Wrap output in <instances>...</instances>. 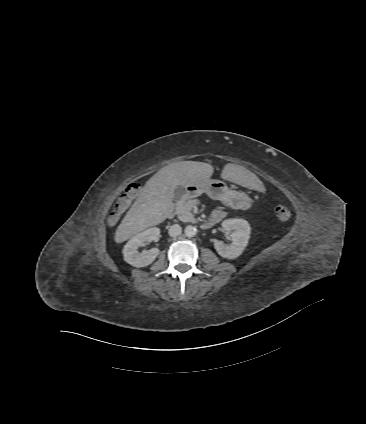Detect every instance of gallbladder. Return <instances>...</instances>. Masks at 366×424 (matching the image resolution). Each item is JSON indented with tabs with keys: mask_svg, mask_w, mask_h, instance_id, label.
<instances>
[{
	"mask_svg": "<svg viewBox=\"0 0 366 424\" xmlns=\"http://www.w3.org/2000/svg\"><path fill=\"white\" fill-rule=\"evenodd\" d=\"M174 199L175 200H179V199H181L182 197H183V195H184V188L182 187V186H177L176 187V189H175V191H174Z\"/></svg>",
	"mask_w": 366,
	"mask_h": 424,
	"instance_id": "bac80fb5",
	"label": "gallbladder"
}]
</instances>
